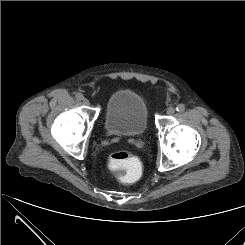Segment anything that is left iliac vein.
<instances>
[{
    "label": "left iliac vein",
    "mask_w": 245,
    "mask_h": 245,
    "mask_svg": "<svg viewBox=\"0 0 245 245\" xmlns=\"http://www.w3.org/2000/svg\"><path fill=\"white\" fill-rule=\"evenodd\" d=\"M167 115L172 116L175 113V108L169 107L166 111Z\"/></svg>",
    "instance_id": "4c4485c4"
}]
</instances>
